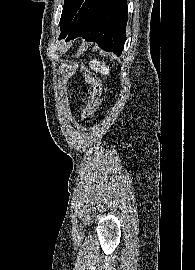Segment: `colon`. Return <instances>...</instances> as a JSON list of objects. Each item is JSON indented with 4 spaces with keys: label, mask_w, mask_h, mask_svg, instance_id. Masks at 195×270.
I'll use <instances>...</instances> for the list:
<instances>
[{
    "label": "colon",
    "mask_w": 195,
    "mask_h": 270,
    "mask_svg": "<svg viewBox=\"0 0 195 270\" xmlns=\"http://www.w3.org/2000/svg\"><path fill=\"white\" fill-rule=\"evenodd\" d=\"M82 75L85 82L90 87L88 102L82 114V120H87L92 118L99 109L102 95V83L95 74L86 69H82Z\"/></svg>",
    "instance_id": "colon-1"
}]
</instances>
